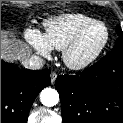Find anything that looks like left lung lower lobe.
<instances>
[{"mask_svg": "<svg viewBox=\"0 0 123 123\" xmlns=\"http://www.w3.org/2000/svg\"><path fill=\"white\" fill-rule=\"evenodd\" d=\"M63 123H123V50L76 75H60Z\"/></svg>", "mask_w": 123, "mask_h": 123, "instance_id": "left-lung-lower-lobe-1", "label": "left lung lower lobe"}]
</instances>
